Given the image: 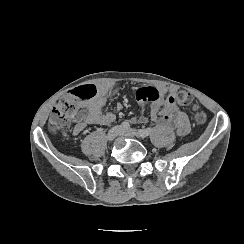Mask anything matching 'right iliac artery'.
<instances>
[{
	"label": "right iliac artery",
	"instance_id": "82829eb1",
	"mask_svg": "<svg viewBox=\"0 0 244 244\" xmlns=\"http://www.w3.org/2000/svg\"><path fill=\"white\" fill-rule=\"evenodd\" d=\"M121 128L122 129H128V128H130L129 122H127V121L122 122L121 123Z\"/></svg>",
	"mask_w": 244,
	"mask_h": 244
}]
</instances>
